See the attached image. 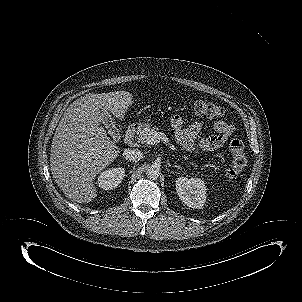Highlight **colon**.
<instances>
[{
	"label": "colon",
	"mask_w": 302,
	"mask_h": 302,
	"mask_svg": "<svg viewBox=\"0 0 302 302\" xmlns=\"http://www.w3.org/2000/svg\"><path fill=\"white\" fill-rule=\"evenodd\" d=\"M192 108L199 115L213 118L220 117L224 113V109L221 106L200 100L193 101ZM229 150L233 158V165L227 170L226 176L228 179H232L245 165L246 156L244 145L238 139H234L230 142Z\"/></svg>",
	"instance_id": "obj_1"
}]
</instances>
